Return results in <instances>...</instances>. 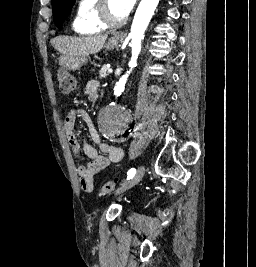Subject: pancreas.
I'll use <instances>...</instances> for the list:
<instances>
[{"instance_id":"pancreas-1","label":"pancreas","mask_w":256,"mask_h":267,"mask_svg":"<svg viewBox=\"0 0 256 267\" xmlns=\"http://www.w3.org/2000/svg\"><path fill=\"white\" fill-rule=\"evenodd\" d=\"M108 70L109 68H106V66H103L100 70V76L99 78H105V76H108Z\"/></svg>"}]
</instances>
